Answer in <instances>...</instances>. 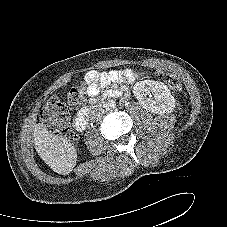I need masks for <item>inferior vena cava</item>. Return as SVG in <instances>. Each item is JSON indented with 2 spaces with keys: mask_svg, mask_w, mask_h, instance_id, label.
<instances>
[{
  "mask_svg": "<svg viewBox=\"0 0 227 227\" xmlns=\"http://www.w3.org/2000/svg\"><path fill=\"white\" fill-rule=\"evenodd\" d=\"M104 114V109L102 108H94L90 113V119L95 121L100 119Z\"/></svg>",
  "mask_w": 227,
  "mask_h": 227,
  "instance_id": "inferior-vena-cava-1",
  "label": "inferior vena cava"
}]
</instances>
